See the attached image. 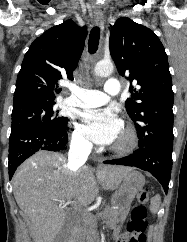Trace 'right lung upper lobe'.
<instances>
[{
    "label": "right lung upper lobe",
    "instance_id": "1",
    "mask_svg": "<svg viewBox=\"0 0 187 242\" xmlns=\"http://www.w3.org/2000/svg\"><path fill=\"white\" fill-rule=\"evenodd\" d=\"M85 27L72 20L54 26L37 37L25 54L14 92L13 106L30 102H53L62 78L73 71L84 49Z\"/></svg>",
    "mask_w": 187,
    "mask_h": 242
}]
</instances>
